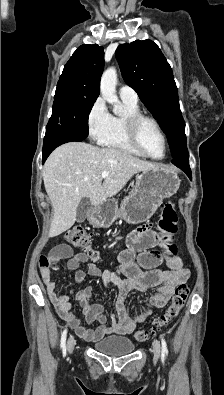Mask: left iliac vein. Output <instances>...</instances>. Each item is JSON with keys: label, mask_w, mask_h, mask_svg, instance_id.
I'll return each mask as SVG.
<instances>
[{"label": "left iliac vein", "mask_w": 224, "mask_h": 395, "mask_svg": "<svg viewBox=\"0 0 224 395\" xmlns=\"http://www.w3.org/2000/svg\"><path fill=\"white\" fill-rule=\"evenodd\" d=\"M153 353H154V359L156 361L159 360L161 355V346L157 339L153 341Z\"/></svg>", "instance_id": "1"}]
</instances>
